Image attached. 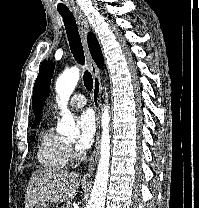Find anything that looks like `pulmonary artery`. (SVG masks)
Returning a JSON list of instances; mask_svg holds the SVG:
<instances>
[{
  "instance_id": "obj_1",
  "label": "pulmonary artery",
  "mask_w": 199,
  "mask_h": 208,
  "mask_svg": "<svg viewBox=\"0 0 199 208\" xmlns=\"http://www.w3.org/2000/svg\"><path fill=\"white\" fill-rule=\"evenodd\" d=\"M87 103L86 97L81 93L74 94L69 100V106L73 108L83 107Z\"/></svg>"
}]
</instances>
